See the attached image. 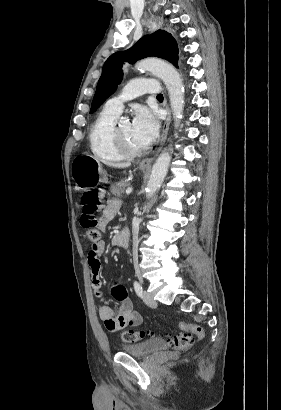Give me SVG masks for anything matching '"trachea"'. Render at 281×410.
Masks as SVG:
<instances>
[{
	"mask_svg": "<svg viewBox=\"0 0 281 410\" xmlns=\"http://www.w3.org/2000/svg\"><path fill=\"white\" fill-rule=\"evenodd\" d=\"M157 98H163V95H162V94H158V95H157Z\"/></svg>",
	"mask_w": 281,
	"mask_h": 410,
	"instance_id": "obj_1",
	"label": "trachea"
}]
</instances>
